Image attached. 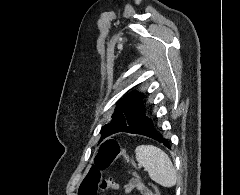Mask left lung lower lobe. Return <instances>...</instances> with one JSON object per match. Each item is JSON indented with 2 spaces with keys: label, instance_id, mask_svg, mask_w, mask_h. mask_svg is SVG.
Listing matches in <instances>:
<instances>
[{
  "label": "left lung lower lobe",
  "instance_id": "left-lung-lower-lobe-1",
  "mask_svg": "<svg viewBox=\"0 0 240 195\" xmlns=\"http://www.w3.org/2000/svg\"><path fill=\"white\" fill-rule=\"evenodd\" d=\"M122 131L148 136L159 142L162 141L166 147L170 148L168 141L164 139L162 135L154 128L152 121L145 116V110Z\"/></svg>",
  "mask_w": 240,
  "mask_h": 195
}]
</instances>
